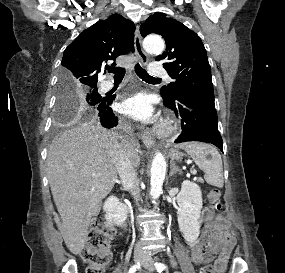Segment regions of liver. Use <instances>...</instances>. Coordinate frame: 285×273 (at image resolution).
Instances as JSON below:
<instances>
[{"instance_id": "obj_1", "label": "liver", "mask_w": 285, "mask_h": 273, "mask_svg": "<svg viewBox=\"0 0 285 273\" xmlns=\"http://www.w3.org/2000/svg\"><path fill=\"white\" fill-rule=\"evenodd\" d=\"M135 167L140 164L135 144L122 140ZM118 135L94 122L63 132L47 156L48 180L62 224L60 231L71 253L80 254L92 216L101 209L117 178L114 152Z\"/></svg>"}]
</instances>
